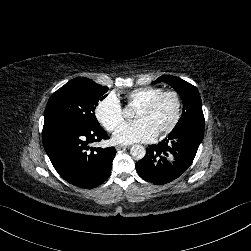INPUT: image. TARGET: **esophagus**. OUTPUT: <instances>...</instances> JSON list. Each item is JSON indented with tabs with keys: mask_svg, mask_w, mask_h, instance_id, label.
Returning a JSON list of instances; mask_svg holds the SVG:
<instances>
[{
	"mask_svg": "<svg viewBox=\"0 0 251 251\" xmlns=\"http://www.w3.org/2000/svg\"><path fill=\"white\" fill-rule=\"evenodd\" d=\"M122 149H124V146H123V145H117V146H116V150H117V151H121Z\"/></svg>",
	"mask_w": 251,
	"mask_h": 251,
	"instance_id": "34e87169",
	"label": "esophagus"
}]
</instances>
